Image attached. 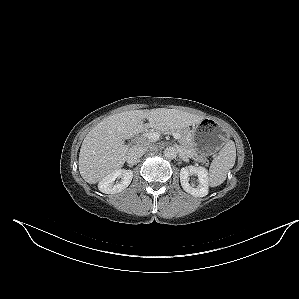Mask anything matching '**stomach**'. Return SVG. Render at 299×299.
<instances>
[{"instance_id":"1","label":"stomach","mask_w":299,"mask_h":299,"mask_svg":"<svg viewBox=\"0 0 299 299\" xmlns=\"http://www.w3.org/2000/svg\"><path fill=\"white\" fill-rule=\"evenodd\" d=\"M190 133L194 149L202 155L213 154L226 140L222 127L206 118L193 125Z\"/></svg>"}]
</instances>
